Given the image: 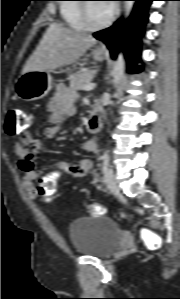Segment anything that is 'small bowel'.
<instances>
[{
  "mask_svg": "<svg viewBox=\"0 0 180 299\" xmlns=\"http://www.w3.org/2000/svg\"><path fill=\"white\" fill-rule=\"evenodd\" d=\"M75 100L74 91L65 85H58L54 96L47 105L48 125L43 130L45 138H55L61 131L63 121L75 114ZM42 148V141L33 138L29 132L23 134L15 147L18 166L22 171L23 187L30 197H35L38 193V183H56L67 178H81L91 170L92 163L89 159H79L74 163L57 162L52 171L39 170L37 161ZM81 148L86 152H96V140L87 138L82 142Z\"/></svg>",
  "mask_w": 180,
  "mask_h": 299,
  "instance_id": "obj_1",
  "label": "small bowel"
}]
</instances>
